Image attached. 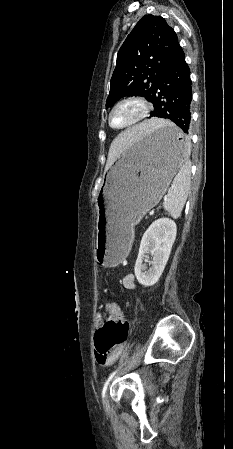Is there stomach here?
<instances>
[{"label": "stomach", "instance_id": "obj_1", "mask_svg": "<svg viewBox=\"0 0 233 449\" xmlns=\"http://www.w3.org/2000/svg\"><path fill=\"white\" fill-rule=\"evenodd\" d=\"M187 137L172 123L135 142L106 175L98 198L96 260L117 266L134 239V227L158 204L186 159Z\"/></svg>", "mask_w": 233, "mask_h": 449}]
</instances>
